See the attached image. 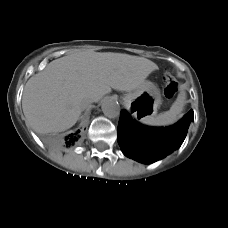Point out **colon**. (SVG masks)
<instances>
[{
	"label": "colon",
	"instance_id": "5ec220e1",
	"mask_svg": "<svg viewBox=\"0 0 228 228\" xmlns=\"http://www.w3.org/2000/svg\"><path fill=\"white\" fill-rule=\"evenodd\" d=\"M163 79H164V94L167 98L171 99L176 95L178 91L177 82L169 72H166L164 74Z\"/></svg>",
	"mask_w": 228,
	"mask_h": 228
}]
</instances>
